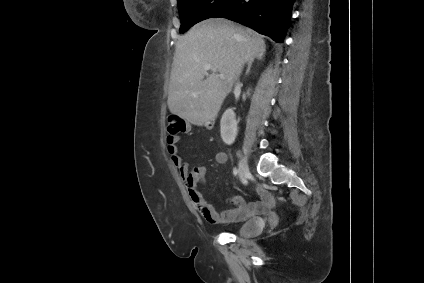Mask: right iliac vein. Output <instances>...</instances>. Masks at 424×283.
Listing matches in <instances>:
<instances>
[{"label":"right iliac vein","mask_w":424,"mask_h":283,"mask_svg":"<svg viewBox=\"0 0 424 283\" xmlns=\"http://www.w3.org/2000/svg\"><path fill=\"white\" fill-rule=\"evenodd\" d=\"M238 172H239L240 179L242 181H245L246 177L249 173L248 164H247V161L245 160V158H241V160L239 162Z\"/></svg>","instance_id":"right-iliac-vein-1"}]
</instances>
